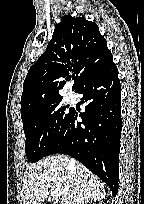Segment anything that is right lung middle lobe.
<instances>
[{
    "mask_svg": "<svg viewBox=\"0 0 144 204\" xmlns=\"http://www.w3.org/2000/svg\"><path fill=\"white\" fill-rule=\"evenodd\" d=\"M61 101L62 97L54 98L21 117L28 161L46 156L70 116L71 110L67 112L68 106H61Z\"/></svg>",
    "mask_w": 144,
    "mask_h": 204,
    "instance_id": "dd1d6c3e",
    "label": "right lung middle lobe"
}]
</instances>
